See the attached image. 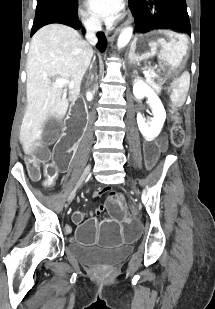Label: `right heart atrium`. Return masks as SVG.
<instances>
[{"label":"right heart atrium","mask_w":215,"mask_h":309,"mask_svg":"<svg viewBox=\"0 0 215 309\" xmlns=\"http://www.w3.org/2000/svg\"><path fill=\"white\" fill-rule=\"evenodd\" d=\"M82 23L87 29H95L98 27L97 20L88 13H82Z\"/></svg>","instance_id":"obj_1"}]
</instances>
